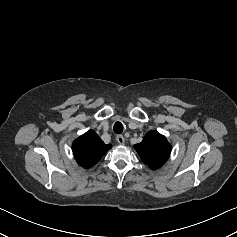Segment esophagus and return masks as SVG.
Segmentation results:
<instances>
[{"label": "esophagus", "instance_id": "obj_1", "mask_svg": "<svg viewBox=\"0 0 237 237\" xmlns=\"http://www.w3.org/2000/svg\"><path fill=\"white\" fill-rule=\"evenodd\" d=\"M116 140L119 144H124L125 139L122 135H117Z\"/></svg>", "mask_w": 237, "mask_h": 237}]
</instances>
